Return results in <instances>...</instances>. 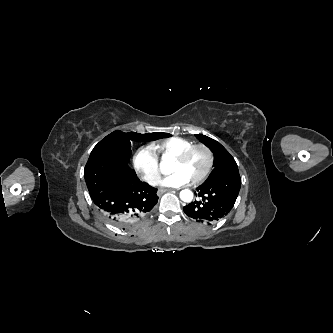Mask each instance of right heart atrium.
I'll list each match as a JSON object with an SVG mask.
<instances>
[{
	"mask_svg": "<svg viewBox=\"0 0 333 333\" xmlns=\"http://www.w3.org/2000/svg\"><path fill=\"white\" fill-rule=\"evenodd\" d=\"M133 165L137 174L149 185L160 181L159 160L150 146L140 147L134 154Z\"/></svg>",
	"mask_w": 333,
	"mask_h": 333,
	"instance_id": "d8ad5b80",
	"label": "right heart atrium"
}]
</instances>
